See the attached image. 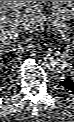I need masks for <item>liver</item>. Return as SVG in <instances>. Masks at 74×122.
<instances>
[{"label": "liver", "mask_w": 74, "mask_h": 122, "mask_svg": "<svg viewBox=\"0 0 74 122\" xmlns=\"http://www.w3.org/2000/svg\"><path fill=\"white\" fill-rule=\"evenodd\" d=\"M46 1H0V52L18 41L17 23L24 24V31L33 33L45 18L43 5Z\"/></svg>", "instance_id": "6515ba94"}]
</instances>
